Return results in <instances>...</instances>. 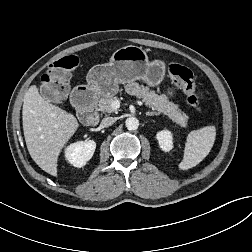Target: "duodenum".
<instances>
[{"label": "duodenum", "mask_w": 252, "mask_h": 252, "mask_svg": "<svg viewBox=\"0 0 252 252\" xmlns=\"http://www.w3.org/2000/svg\"><path fill=\"white\" fill-rule=\"evenodd\" d=\"M92 91L85 87L75 90L71 100L74 105L81 109V119L87 125H97L100 120L96 104L92 101Z\"/></svg>", "instance_id": "410a0bca"}]
</instances>
